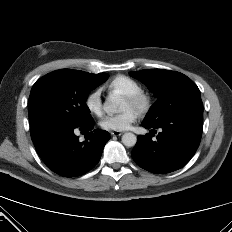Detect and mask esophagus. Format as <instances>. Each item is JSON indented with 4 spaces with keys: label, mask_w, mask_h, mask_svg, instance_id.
<instances>
[{
    "label": "esophagus",
    "mask_w": 232,
    "mask_h": 232,
    "mask_svg": "<svg viewBox=\"0 0 232 232\" xmlns=\"http://www.w3.org/2000/svg\"><path fill=\"white\" fill-rule=\"evenodd\" d=\"M110 134L111 136H120L122 133L118 131H111Z\"/></svg>",
    "instance_id": "34e87169"
}]
</instances>
